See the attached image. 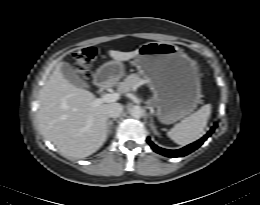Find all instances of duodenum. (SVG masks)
<instances>
[{
  "label": "duodenum",
  "instance_id": "obj_1",
  "mask_svg": "<svg viewBox=\"0 0 260 205\" xmlns=\"http://www.w3.org/2000/svg\"><path fill=\"white\" fill-rule=\"evenodd\" d=\"M95 80L100 90H105L110 87V82L101 74H98Z\"/></svg>",
  "mask_w": 260,
  "mask_h": 205
}]
</instances>
